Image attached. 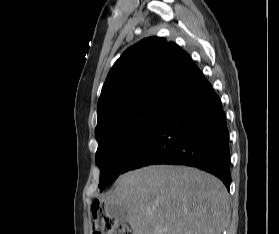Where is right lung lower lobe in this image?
Here are the masks:
<instances>
[{"instance_id": "98d812e1", "label": "right lung lower lobe", "mask_w": 279, "mask_h": 234, "mask_svg": "<svg viewBox=\"0 0 279 234\" xmlns=\"http://www.w3.org/2000/svg\"><path fill=\"white\" fill-rule=\"evenodd\" d=\"M226 115L211 84L200 76L169 104L123 172L152 164L198 167L230 188Z\"/></svg>"}]
</instances>
